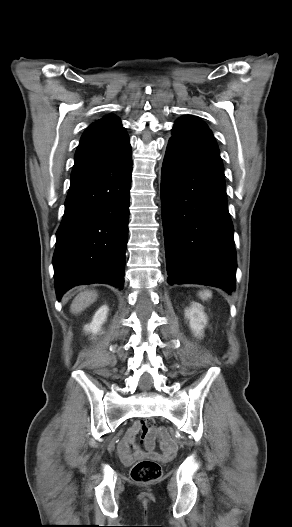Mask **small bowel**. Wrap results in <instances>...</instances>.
Returning <instances> with one entry per match:
<instances>
[{
  "instance_id": "c3829d8e",
  "label": "small bowel",
  "mask_w": 292,
  "mask_h": 527,
  "mask_svg": "<svg viewBox=\"0 0 292 527\" xmlns=\"http://www.w3.org/2000/svg\"><path fill=\"white\" fill-rule=\"evenodd\" d=\"M140 432L143 435L147 451L142 450L136 442V437ZM164 432L165 429H163L160 424H156L153 430L148 431L143 429L141 423H136L135 425H133L127 431L126 435L117 446L118 454L121 459L125 462V468H132V462L135 459L143 458L146 456L151 457V462L153 464H158L160 461L164 465L169 464L171 461L170 457L175 454L176 446L167 433L163 434ZM156 436L160 438V449L162 451L161 455L157 454L152 450L154 438Z\"/></svg>"
}]
</instances>
